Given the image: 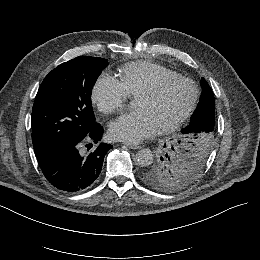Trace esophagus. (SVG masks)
I'll return each instance as SVG.
<instances>
[{"instance_id":"34e87169","label":"esophagus","mask_w":260,"mask_h":260,"mask_svg":"<svg viewBox=\"0 0 260 260\" xmlns=\"http://www.w3.org/2000/svg\"><path fill=\"white\" fill-rule=\"evenodd\" d=\"M128 148L130 149H140V145L134 144V143H124Z\"/></svg>"}]
</instances>
